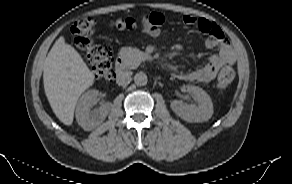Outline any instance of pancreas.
Instances as JSON below:
<instances>
[{
  "label": "pancreas",
  "mask_w": 292,
  "mask_h": 184,
  "mask_svg": "<svg viewBox=\"0 0 292 184\" xmlns=\"http://www.w3.org/2000/svg\"><path fill=\"white\" fill-rule=\"evenodd\" d=\"M123 60V66L127 69H135L139 66L142 60L143 53L136 48L123 47L119 52Z\"/></svg>",
  "instance_id": "obj_1"
}]
</instances>
